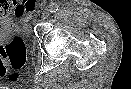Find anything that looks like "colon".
I'll return each instance as SVG.
<instances>
[{"label":"colon","instance_id":"obj_1","mask_svg":"<svg viewBox=\"0 0 131 89\" xmlns=\"http://www.w3.org/2000/svg\"><path fill=\"white\" fill-rule=\"evenodd\" d=\"M10 12V6L6 8ZM27 58V46L23 39L14 37L6 45L0 47V78L16 82L20 78L19 69Z\"/></svg>","mask_w":131,"mask_h":89}]
</instances>
